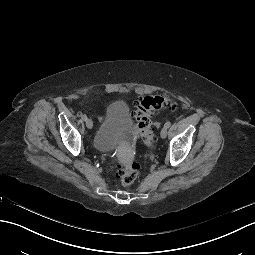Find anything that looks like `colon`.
<instances>
[{
    "instance_id": "colon-1",
    "label": "colon",
    "mask_w": 255,
    "mask_h": 255,
    "mask_svg": "<svg viewBox=\"0 0 255 255\" xmlns=\"http://www.w3.org/2000/svg\"><path fill=\"white\" fill-rule=\"evenodd\" d=\"M176 107L175 100L165 95L147 96L141 99L136 106L134 116L137 129L143 144L150 147L153 140V115ZM139 164L136 162H123L118 165L116 175L123 186L131 185L137 178Z\"/></svg>"
}]
</instances>
